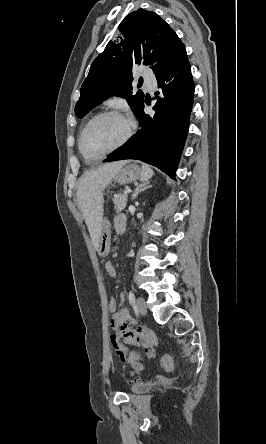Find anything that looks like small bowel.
Listing matches in <instances>:
<instances>
[{
	"mask_svg": "<svg viewBox=\"0 0 266 444\" xmlns=\"http://www.w3.org/2000/svg\"><path fill=\"white\" fill-rule=\"evenodd\" d=\"M126 219L123 215H117L114 220L115 232L117 235H121L124 232ZM107 274L115 278L117 276L116 269L111 262L105 264ZM124 296L121 295V301ZM136 321L131 317L129 310L120 305L117 312L111 317L110 326L113 329V333L110 337V342L113 350L119 356L121 361H129L131 368L135 372H140L143 366L140 363H134L129 358L128 351L123 342L131 345L143 348L145 354L148 357L153 355V345L155 343V336L149 332L144 325L140 324L138 328L132 329L130 326ZM140 382V380H137Z\"/></svg>",
	"mask_w": 266,
	"mask_h": 444,
	"instance_id": "small-bowel-1",
	"label": "small bowel"
}]
</instances>
